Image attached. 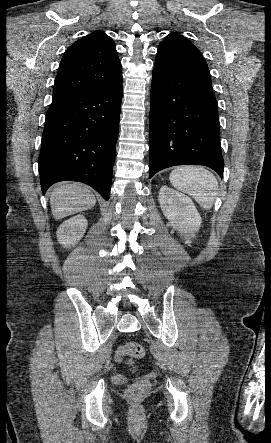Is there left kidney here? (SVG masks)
<instances>
[{
  "mask_svg": "<svg viewBox=\"0 0 271 443\" xmlns=\"http://www.w3.org/2000/svg\"><path fill=\"white\" fill-rule=\"evenodd\" d=\"M158 198L164 216L178 229V233L186 235V243H191L188 235H195L201 225V216L192 200L168 186L160 188Z\"/></svg>",
  "mask_w": 271,
  "mask_h": 443,
  "instance_id": "left-kidney-1",
  "label": "left kidney"
}]
</instances>
